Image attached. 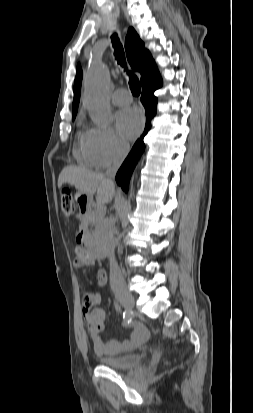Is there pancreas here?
Masks as SVG:
<instances>
[{
    "label": "pancreas",
    "mask_w": 253,
    "mask_h": 413,
    "mask_svg": "<svg viewBox=\"0 0 253 413\" xmlns=\"http://www.w3.org/2000/svg\"><path fill=\"white\" fill-rule=\"evenodd\" d=\"M103 219V212L99 209H90L86 214L81 218L82 229H87L89 226L94 228L97 227Z\"/></svg>",
    "instance_id": "obj_1"
}]
</instances>
